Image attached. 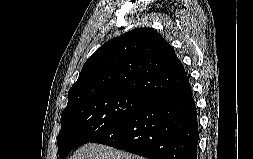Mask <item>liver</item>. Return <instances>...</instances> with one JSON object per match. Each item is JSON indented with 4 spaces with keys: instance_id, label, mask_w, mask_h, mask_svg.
Masks as SVG:
<instances>
[{
    "instance_id": "6515ba94",
    "label": "liver",
    "mask_w": 253,
    "mask_h": 159,
    "mask_svg": "<svg viewBox=\"0 0 253 159\" xmlns=\"http://www.w3.org/2000/svg\"><path fill=\"white\" fill-rule=\"evenodd\" d=\"M70 159H146L113 147L87 143L80 147Z\"/></svg>"
}]
</instances>
